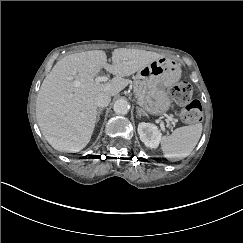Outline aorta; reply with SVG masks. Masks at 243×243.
Listing matches in <instances>:
<instances>
[{"mask_svg": "<svg viewBox=\"0 0 243 243\" xmlns=\"http://www.w3.org/2000/svg\"><path fill=\"white\" fill-rule=\"evenodd\" d=\"M114 112L120 116H125L130 111V106L125 100H117L113 106Z\"/></svg>", "mask_w": 243, "mask_h": 243, "instance_id": "obj_1", "label": "aorta"}]
</instances>
